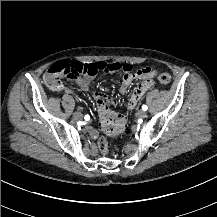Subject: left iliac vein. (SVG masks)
I'll return each mask as SVG.
<instances>
[{
    "label": "left iliac vein",
    "mask_w": 217,
    "mask_h": 217,
    "mask_svg": "<svg viewBox=\"0 0 217 217\" xmlns=\"http://www.w3.org/2000/svg\"><path fill=\"white\" fill-rule=\"evenodd\" d=\"M136 116L140 119H144L146 116H147V113L146 111L144 110H139L137 113H136Z\"/></svg>",
    "instance_id": "left-iliac-vein-1"
}]
</instances>
